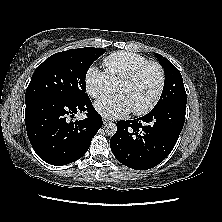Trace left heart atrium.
I'll return each mask as SVG.
<instances>
[{"mask_svg": "<svg viewBox=\"0 0 222 222\" xmlns=\"http://www.w3.org/2000/svg\"><path fill=\"white\" fill-rule=\"evenodd\" d=\"M95 108L101 115L111 119L123 117L131 111L126 98L120 93L97 101Z\"/></svg>", "mask_w": 222, "mask_h": 222, "instance_id": "39dd6f15", "label": "left heart atrium"}]
</instances>
